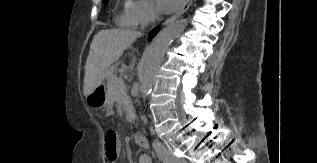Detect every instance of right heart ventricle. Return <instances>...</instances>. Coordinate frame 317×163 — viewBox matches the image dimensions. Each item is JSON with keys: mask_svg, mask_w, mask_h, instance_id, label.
<instances>
[{"mask_svg": "<svg viewBox=\"0 0 317 163\" xmlns=\"http://www.w3.org/2000/svg\"><path fill=\"white\" fill-rule=\"evenodd\" d=\"M129 2V0H125V9H126V6H127V3ZM118 21V24L121 25V26H133L130 24V22L128 21L127 19V16H126V13L120 15L117 19Z\"/></svg>", "mask_w": 317, "mask_h": 163, "instance_id": "1", "label": "right heart ventricle"}]
</instances>
